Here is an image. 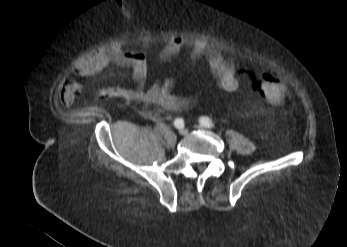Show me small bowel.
Returning <instances> with one entry per match:
<instances>
[{
	"label": "small bowel",
	"mask_w": 347,
	"mask_h": 247,
	"mask_svg": "<svg viewBox=\"0 0 347 247\" xmlns=\"http://www.w3.org/2000/svg\"><path fill=\"white\" fill-rule=\"evenodd\" d=\"M186 47L187 44L179 37L169 39L160 51L161 60L171 59ZM189 56L192 61L204 57L212 80L225 92H237L244 81L250 84L248 78L244 79L243 76L238 75L235 64L226 60L217 48L195 43L190 47ZM112 63L131 69L136 88L109 86L106 88L107 92L126 101H137L154 106L153 111L144 113V116L151 121H161L165 110L172 112L186 110L193 106L196 101L195 97H181L174 94L175 80L173 78H165L146 88L148 67L145 52L142 50L124 51L121 47L99 50L79 60L75 65V72L80 77H89L104 70ZM79 93V85L66 84L59 94L61 106H71Z\"/></svg>",
	"instance_id": "obj_1"
}]
</instances>
